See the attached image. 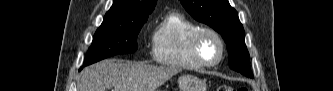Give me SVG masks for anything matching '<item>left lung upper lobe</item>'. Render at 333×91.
<instances>
[{"label":"left lung upper lobe","instance_id":"obj_1","mask_svg":"<svg viewBox=\"0 0 333 91\" xmlns=\"http://www.w3.org/2000/svg\"><path fill=\"white\" fill-rule=\"evenodd\" d=\"M184 8L199 22L220 33L229 53V67L247 77H253L245 32L238 14L228 0H180Z\"/></svg>","mask_w":333,"mask_h":91}]
</instances>
